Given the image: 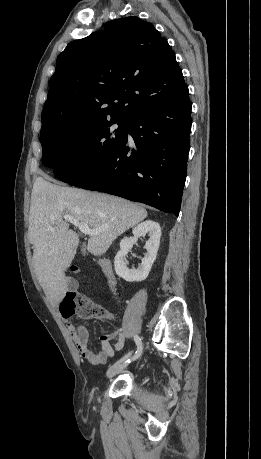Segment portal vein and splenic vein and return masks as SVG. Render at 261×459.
Listing matches in <instances>:
<instances>
[{"label":"portal vein and splenic vein","instance_id":"obj_1","mask_svg":"<svg viewBox=\"0 0 261 459\" xmlns=\"http://www.w3.org/2000/svg\"><path fill=\"white\" fill-rule=\"evenodd\" d=\"M66 221L70 222L71 224H73L74 226H76L80 232H82L83 234H86V235H92V234H96L98 232V230H92L90 229V227L88 226V224L86 223H83V222H79L78 219H76L74 216H71V215H64L63 217Z\"/></svg>","mask_w":261,"mask_h":459}]
</instances>
